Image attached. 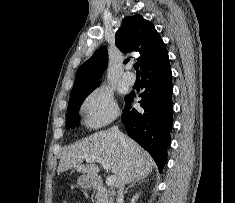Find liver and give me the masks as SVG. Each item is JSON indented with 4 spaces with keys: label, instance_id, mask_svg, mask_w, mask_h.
<instances>
[{
    "label": "liver",
    "instance_id": "liver-1",
    "mask_svg": "<svg viewBox=\"0 0 235 203\" xmlns=\"http://www.w3.org/2000/svg\"><path fill=\"white\" fill-rule=\"evenodd\" d=\"M120 137L112 130L100 131L69 146L62 153L58 173L69 169L96 177L100 169L95 164L83 165L88 158H101L108 162L116 178L115 187L147 176L155 166L150 155L128 136Z\"/></svg>",
    "mask_w": 235,
    "mask_h": 203
}]
</instances>
